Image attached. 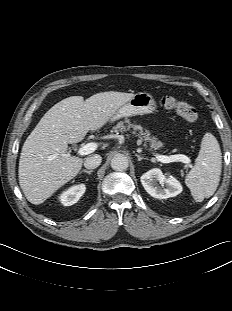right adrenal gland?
Instances as JSON below:
<instances>
[{
    "instance_id": "2a0ac1e0",
    "label": "right adrenal gland",
    "mask_w": 232,
    "mask_h": 311,
    "mask_svg": "<svg viewBox=\"0 0 232 311\" xmlns=\"http://www.w3.org/2000/svg\"><path fill=\"white\" fill-rule=\"evenodd\" d=\"M83 172L90 175V174L93 172V170H86V169H84V170L80 171L79 174H81V173H83Z\"/></svg>"
}]
</instances>
